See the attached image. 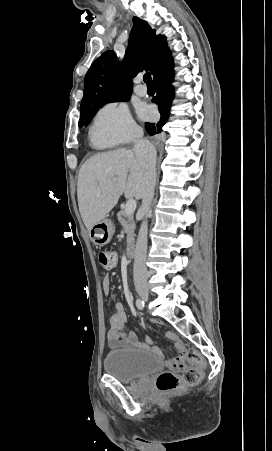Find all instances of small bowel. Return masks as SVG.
I'll use <instances>...</instances> for the list:
<instances>
[{"mask_svg":"<svg viewBox=\"0 0 272 451\" xmlns=\"http://www.w3.org/2000/svg\"><path fill=\"white\" fill-rule=\"evenodd\" d=\"M102 288L106 295L110 294L111 279L108 275L103 277ZM127 319V313L123 303L117 302L114 306V312L109 318L110 328L106 334L108 344L111 347L130 346L138 349H148L152 350L158 356H163L162 350L152 344L150 337L146 338L145 343H141L134 332H125ZM166 336L173 342L174 348H185L183 341L176 333L168 332Z\"/></svg>","mask_w":272,"mask_h":451,"instance_id":"obj_1","label":"small bowel"}]
</instances>
